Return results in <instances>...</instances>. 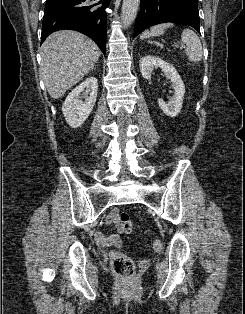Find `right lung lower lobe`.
Here are the masks:
<instances>
[{"instance_id":"right-lung-lower-lobe-1","label":"right lung lower lobe","mask_w":245,"mask_h":314,"mask_svg":"<svg viewBox=\"0 0 245 314\" xmlns=\"http://www.w3.org/2000/svg\"><path fill=\"white\" fill-rule=\"evenodd\" d=\"M47 0L41 43L54 31L72 29L89 36L105 54L107 15L110 0Z\"/></svg>"}]
</instances>
